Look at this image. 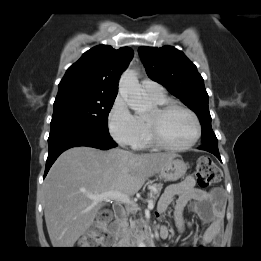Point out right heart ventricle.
Instances as JSON below:
<instances>
[{
  "label": "right heart ventricle",
  "mask_w": 261,
  "mask_h": 261,
  "mask_svg": "<svg viewBox=\"0 0 261 261\" xmlns=\"http://www.w3.org/2000/svg\"><path fill=\"white\" fill-rule=\"evenodd\" d=\"M148 97L156 105H161V104H164L165 102H167V98H166L165 95H162V96H159V97H153V96L148 95ZM137 118L141 122L142 128H143L142 140H141V143H140L138 148H143V147L151 145V142H150V139H149V136H148L145 118L142 117V116H137Z\"/></svg>",
  "instance_id": "1"
}]
</instances>
